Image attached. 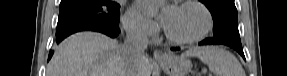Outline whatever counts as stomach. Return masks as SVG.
Listing matches in <instances>:
<instances>
[{"label": "stomach", "mask_w": 287, "mask_h": 76, "mask_svg": "<svg viewBox=\"0 0 287 76\" xmlns=\"http://www.w3.org/2000/svg\"><path fill=\"white\" fill-rule=\"evenodd\" d=\"M168 76H186L191 71V62L184 56L169 55L159 61Z\"/></svg>", "instance_id": "obj_1"}]
</instances>
